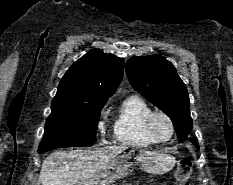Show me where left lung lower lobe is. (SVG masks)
Wrapping results in <instances>:
<instances>
[{
  "mask_svg": "<svg viewBox=\"0 0 233 185\" xmlns=\"http://www.w3.org/2000/svg\"><path fill=\"white\" fill-rule=\"evenodd\" d=\"M191 141L196 146V148H199L198 142L196 140H191Z\"/></svg>",
  "mask_w": 233,
  "mask_h": 185,
  "instance_id": "1",
  "label": "left lung lower lobe"
}]
</instances>
